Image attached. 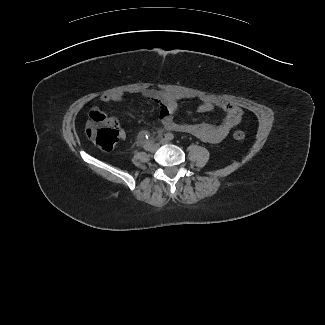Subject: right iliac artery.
<instances>
[{
	"instance_id": "right-iliac-artery-1",
	"label": "right iliac artery",
	"mask_w": 325,
	"mask_h": 325,
	"mask_svg": "<svg viewBox=\"0 0 325 325\" xmlns=\"http://www.w3.org/2000/svg\"><path fill=\"white\" fill-rule=\"evenodd\" d=\"M152 144H153V140L150 139V140L146 141V143L144 144V148L148 149Z\"/></svg>"
}]
</instances>
